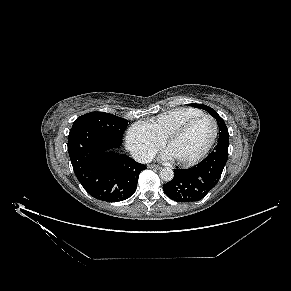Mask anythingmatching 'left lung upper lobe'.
<instances>
[{
    "label": "left lung upper lobe",
    "instance_id": "obj_1",
    "mask_svg": "<svg viewBox=\"0 0 291 291\" xmlns=\"http://www.w3.org/2000/svg\"><path fill=\"white\" fill-rule=\"evenodd\" d=\"M192 105L208 111L218 122L219 134H220L219 139L223 138V139L229 140V133H228V129L225 125V122L216 111H214L211 107L203 105V104L192 103Z\"/></svg>",
    "mask_w": 291,
    "mask_h": 291
}]
</instances>
